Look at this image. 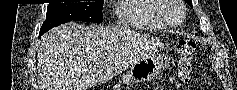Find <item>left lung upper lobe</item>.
Wrapping results in <instances>:
<instances>
[{"mask_svg":"<svg viewBox=\"0 0 237 90\" xmlns=\"http://www.w3.org/2000/svg\"><path fill=\"white\" fill-rule=\"evenodd\" d=\"M185 1L189 4V6L193 7V6H192V1H191V0H185Z\"/></svg>","mask_w":237,"mask_h":90,"instance_id":"5c2ea615","label":"left lung upper lobe"}]
</instances>
